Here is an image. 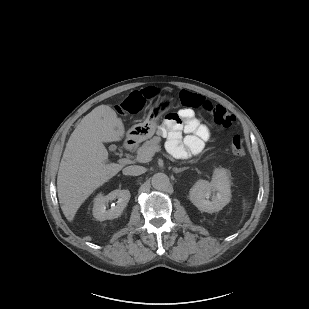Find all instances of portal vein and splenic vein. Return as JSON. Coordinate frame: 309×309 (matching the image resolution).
Here are the masks:
<instances>
[{"mask_svg": "<svg viewBox=\"0 0 309 309\" xmlns=\"http://www.w3.org/2000/svg\"><path fill=\"white\" fill-rule=\"evenodd\" d=\"M160 148H154V149H149L143 153H141L139 156H137V160H144L146 162L151 160V157L154 155L155 152L159 151Z\"/></svg>", "mask_w": 309, "mask_h": 309, "instance_id": "obj_1", "label": "portal vein and splenic vein"}]
</instances>
